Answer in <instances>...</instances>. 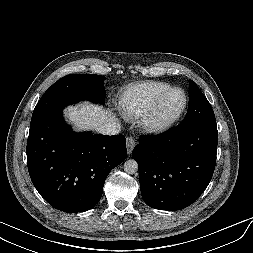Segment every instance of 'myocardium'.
Listing matches in <instances>:
<instances>
[{"mask_svg": "<svg viewBox=\"0 0 253 253\" xmlns=\"http://www.w3.org/2000/svg\"><path fill=\"white\" fill-rule=\"evenodd\" d=\"M174 92H179L183 96V105L181 109L170 119L159 121L156 117L158 108L163 100ZM188 107V97L185 91L178 87H173L160 94L152 103L148 111L143 115L141 126L143 130L150 135H160L173 128L183 117Z\"/></svg>", "mask_w": 253, "mask_h": 253, "instance_id": "f54148a6", "label": "myocardium"}]
</instances>
